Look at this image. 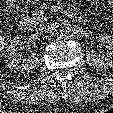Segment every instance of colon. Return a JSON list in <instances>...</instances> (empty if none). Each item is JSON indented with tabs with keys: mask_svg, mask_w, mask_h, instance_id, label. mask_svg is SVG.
I'll return each instance as SVG.
<instances>
[{
	"mask_svg": "<svg viewBox=\"0 0 113 113\" xmlns=\"http://www.w3.org/2000/svg\"><path fill=\"white\" fill-rule=\"evenodd\" d=\"M2 44H3V40H2V38L0 37V48L2 47Z\"/></svg>",
	"mask_w": 113,
	"mask_h": 113,
	"instance_id": "1",
	"label": "colon"
}]
</instances>
